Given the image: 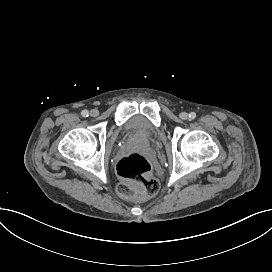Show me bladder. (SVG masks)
I'll list each match as a JSON object with an SVG mask.
<instances>
[{
  "mask_svg": "<svg viewBox=\"0 0 272 272\" xmlns=\"http://www.w3.org/2000/svg\"><path fill=\"white\" fill-rule=\"evenodd\" d=\"M158 132V128L151 121L143 116L136 115L123 124L119 137L121 138L122 135L134 136L142 141L151 142Z\"/></svg>",
  "mask_w": 272,
  "mask_h": 272,
  "instance_id": "obj_1",
  "label": "bladder"
}]
</instances>
